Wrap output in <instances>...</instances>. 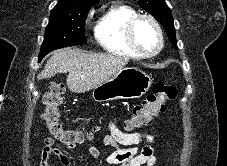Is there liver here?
I'll return each mask as SVG.
<instances>
[{
  "instance_id": "liver-1",
  "label": "liver",
  "mask_w": 227,
  "mask_h": 166,
  "mask_svg": "<svg viewBox=\"0 0 227 166\" xmlns=\"http://www.w3.org/2000/svg\"><path fill=\"white\" fill-rule=\"evenodd\" d=\"M128 62L129 58L125 56L65 48L51 53L37 78L46 79L68 72V89L74 93H85L107 82Z\"/></svg>"
}]
</instances>
